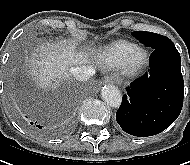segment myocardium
<instances>
[{
    "instance_id": "obj_1",
    "label": "myocardium",
    "mask_w": 190,
    "mask_h": 165,
    "mask_svg": "<svg viewBox=\"0 0 190 165\" xmlns=\"http://www.w3.org/2000/svg\"><path fill=\"white\" fill-rule=\"evenodd\" d=\"M142 55L143 59L140 62L136 61L138 55ZM149 65V54L148 52L138 47L132 51L125 59L123 64V71L127 76H137L142 73Z\"/></svg>"
}]
</instances>
